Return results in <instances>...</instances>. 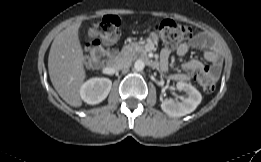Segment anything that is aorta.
Wrapping results in <instances>:
<instances>
[{
	"label": "aorta",
	"mask_w": 261,
	"mask_h": 162,
	"mask_svg": "<svg viewBox=\"0 0 261 162\" xmlns=\"http://www.w3.org/2000/svg\"><path fill=\"white\" fill-rule=\"evenodd\" d=\"M145 67V63L142 60H136L134 63V68L136 71H142Z\"/></svg>",
	"instance_id": "1"
}]
</instances>
